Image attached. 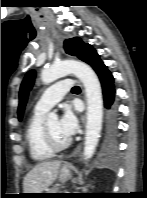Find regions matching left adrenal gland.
<instances>
[{
  "label": "left adrenal gland",
  "instance_id": "1",
  "mask_svg": "<svg viewBox=\"0 0 147 198\" xmlns=\"http://www.w3.org/2000/svg\"><path fill=\"white\" fill-rule=\"evenodd\" d=\"M83 191H85V192H86V191H87V187H83Z\"/></svg>",
  "mask_w": 147,
  "mask_h": 198
}]
</instances>
